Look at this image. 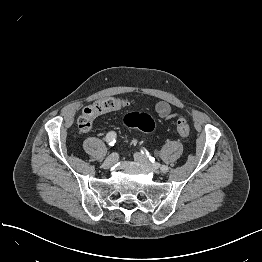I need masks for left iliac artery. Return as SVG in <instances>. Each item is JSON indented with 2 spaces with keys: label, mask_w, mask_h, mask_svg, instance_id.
<instances>
[{
  "label": "left iliac artery",
  "mask_w": 262,
  "mask_h": 262,
  "mask_svg": "<svg viewBox=\"0 0 262 262\" xmlns=\"http://www.w3.org/2000/svg\"><path fill=\"white\" fill-rule=\"evenodd\" d=\"M146 154L148 155V152H146ZM149 159H150V161L154 164V165H157V163L155 162V159L153 158V157H151V156H149ZM168 166H166V165H162L161 166V170L163 171V172H167L168 171Z\"/></svg>",
  "instance_id": "1"
}]
</instances>
